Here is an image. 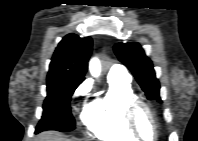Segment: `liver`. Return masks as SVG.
<instances>
[{
  "label": "liver",
  "instance_id": "liver-1",
  "mask_svg": "<svg viewBox=\"0 0 198 141\" xmlns=\"http://www.w3.org/2000/svg\"><path fill=\"white\" fill-rule=\"evenodd\" d=\"M38 139L39 141H70L58 132H44Z\"/></svg>",
  "mask_w": 198,
  "mask_h": 141
}]
</instances>
